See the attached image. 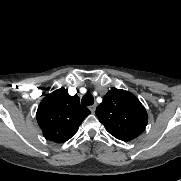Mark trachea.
Segmentation results:
<instances>
[{
	"label": "trachea",
	"instance_id": "trachea-1",
	"mask_svg": "<svg viewBox=\"0 0 181 181\" xmlns=\"http://www.w3.org/2000/svg\"><path fill=\"white\" fill-rule=\"evenodd\" d=\"M82 105L89 106L94 103V97L91 94H86L82 97Z\"/></svg>",
	"mask_w": 181,
	"mask_h": 181
}]
</instances>
